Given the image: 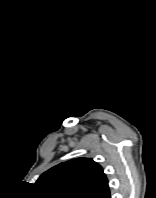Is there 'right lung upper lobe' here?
I'll return each instance as SVG.
<instances>
[{
	"label": "right lung upper lobe",
	"instance_id": "cb5924a9",
	"mask_svg": "<svg viewBox=\"0 0 156 198\" xmlns=\"http://www.w3.org/2000/svg\"><path fill=\"white\" fill-rule=\"evenodd\" d=\"M35 185L50 198H111L102 167L89 158L59 164L43 173Z\"/></svg>",
	"mask_w": 156,
	"mask_h": 198
}]
</instances>
